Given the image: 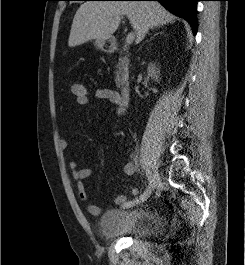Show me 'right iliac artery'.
I'll return each instance as SVG.
<instances>
[{
	"instance_id": "1",
	"label": "right iliac artery",
	"mask_w": 245,
	"mask_h": 265,
	"mask_svg": "<svg viewBox=\"0 0 245 265\" xmlns=\"http://www.w3.org/2000/svg\"><path fill=\"white\" fill-rule=\"evenodd\" d=\"M147 178H148L149 186L146 189V191L139 198H136V199H134L132 201L125 202L122 205V207L129 208V207H133V206H136V205H141V204H143L147 200V198L150 195V189H151V184H152V176H151V173H149V172L147 173Z\"/></svg>"
}]
</instances>
